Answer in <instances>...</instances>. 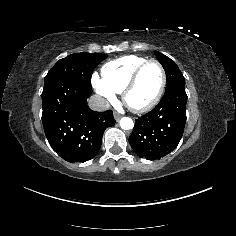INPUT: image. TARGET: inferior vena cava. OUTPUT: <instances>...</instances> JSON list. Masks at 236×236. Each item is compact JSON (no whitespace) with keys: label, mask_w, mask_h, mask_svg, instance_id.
<instances>
[{"label":"inferior vena cava","mask_w":236,"mask_h":236,"mask_svg":"<svg viewBox=\"0 0 236 236\" xmlns=\"http://www.w3.org/2000/svg\"><path fill=\"white\" fill-rule=\"evenodd\" d=\"M89 107L94 111H105L110 107L109 102L100 95H93L88 101Z\"/></svg>","instance_id":"obj_1"}]
</instances>
